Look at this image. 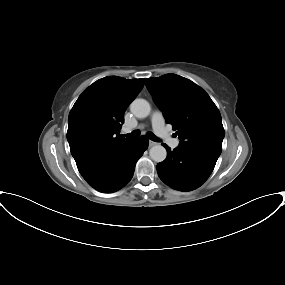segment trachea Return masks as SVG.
<instances>
[{"label": "trachea", "instance_id": "1", "mask_svg": "<svg viewBox=\"0 0 285 285\" xmlns=\"http://www.w3.org/2000/svg\"><path fill=\"white\" fill-rule=\"evenodd\" d=\"M140 135V132L135 130L131 133L126 134L125 136L129 139H135ZM148 136L149 139H151L152 141L155 142H160V139L158 137H156L152 132H147L146 134Z\"/></svg>", "mask_w": 285, "mask_h": 285}]
</instances>
